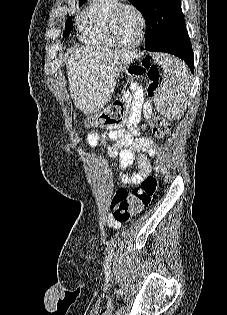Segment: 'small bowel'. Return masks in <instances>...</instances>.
<instances>
[{"label":"small bowel","mask_w":227,"mask_h":315,"mask_svg":"<svg viewBox=\"0 0 227 315\" xmlns=\"http://www.w3.org/2000/svg\"><path fill=\"white\" fill-rule=\"evenodd\" d=\"M132 91V115L128 120L127 129L115 127L103 135L91 132L86 137L90 150L97 148L101 138L115 142L113 146L107 148V153L112 158H118L121 182L125 185H138L143 182L151 170L150 160L159 154V147L151 139L138 137L140 130L145 128V126L138 127L141 109L143 106L145 108L150 105L144 104V95L138 85H132ZM135 159H137L140 170L131 175L126 174L125 169L132 165ZM108 223L114 229L120 228L122 224L114 216L109 217Z\"/></svg>","instance_id":"obj_1"}]
</instances>
